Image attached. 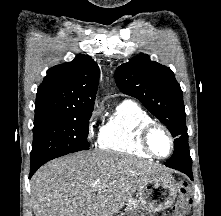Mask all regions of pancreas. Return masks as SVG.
<instances>
[{
  "label": "pancreas",
  "mask_w": 221,
  "mask_h": 216,
  "mask_svg": "<svg viewBox=\"0 0 221 216\" xmlns=\"http://www.w3.org/2000/svg\"><path fill=\"white\" fill-rule=\"evenodd\" d=\"M127 205L128 206L137 205V202L131 199V200H129Z\"/></svg>",
  "instance_id": "1"
}]
</instances>
